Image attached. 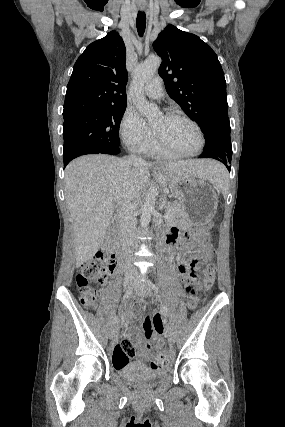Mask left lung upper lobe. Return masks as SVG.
<instances>
[{
    "label": "left lung upper lobe",
    "mask_w": 285,
    "mask_h": 427,
    "mask_svg": "<svg viewBox=\"0 0 285 427\" xmlns=\"http://www.w3.org/2000/svg\"><path fill=\"white\" fill-rule=\"evenodd\" d=\"M169 96L200 128L230 125L226 81L216 53L198 36L168 25L153 43Z\"/></svg>",
    "instance_id": "1"
}]
</instances>
